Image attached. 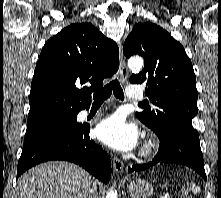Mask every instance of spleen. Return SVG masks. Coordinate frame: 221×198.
Wrapping results in <instances>:
<instances>
[{
  "label": "spleen",
  "mask_w": 221,
  "mask_h": 198,
  "mask_svg": "<svg viewBox=\"0 0 221 198\" xmlns=\"http://www.w3.org/2000/svg\"><path fill=\"white\" fill-rule=\"evenodd\" d=\"M191 190L194 193H200V191H201L200 187L196 186L194 183L191 184Z\"/></svg>",
  "instance_id": "1"
}]
</instances>
